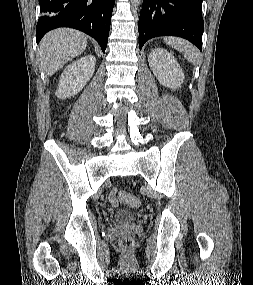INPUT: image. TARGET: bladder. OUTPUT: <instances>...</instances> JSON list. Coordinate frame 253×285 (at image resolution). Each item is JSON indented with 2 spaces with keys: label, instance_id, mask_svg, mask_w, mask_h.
<instances>
[{
  "label": "bladder",
  "instance_id": "obj_1",
  "mask_svg": "<svg viewBox=\"0 0 253 285\" xmlns=\"http://www.w3.org/2000/svg\"><path fill=\"white\" fill-rule=\"evenodd\" d=\"M115 219L119 222H127L134 219V214L129 211H120L116 214Z\"/></svg>",
  "mask_w": 253,
  "mask_h": 285
}]
</instances>
